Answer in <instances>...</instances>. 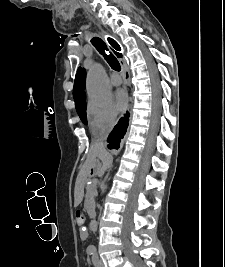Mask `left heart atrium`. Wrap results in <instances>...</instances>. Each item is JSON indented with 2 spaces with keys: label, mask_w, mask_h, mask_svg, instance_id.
Segmentation results:
<instances>
[{
  "label": "left heart atrium",
  "mask_w": 225,
  "mask_h": 267,
  "mask_svg": "<svg viewBox=\"0 0 225 267\" xmlns=\"http://www.w3.org/2000/svg\"><path fill=\"white\" fill-rule=\"evenodd\" d=\"M128 96L125 91L119 90L115 94V105L118 110L122 111L126 108Z\"/></svg>",
  "instance_id": "1"
}]
</instances>
